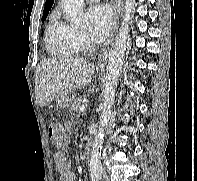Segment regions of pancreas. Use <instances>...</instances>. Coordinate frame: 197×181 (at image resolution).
Segmentation results:
<instances>
[{"mask_svg": "<svg viewBox=\"0 0 197 181\" xmlns=\"http://www.w3.org/2000/svg\"><path fill=\"white\" fill-rule=\"evenodd\" d=\"M81 106H84V98L83 97H78V98H74L71 104V110L73 112H76L79 110V108Z\"/></svg>", "mask_w": 197, "mask_h": 181, "instance_id": "1", "label": "pancreas"}]
</instances>
